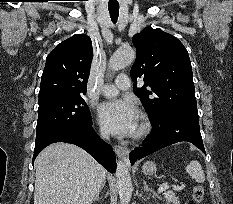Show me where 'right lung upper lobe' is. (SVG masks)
Masks as SVG:
<instances>
[{
    "label": "right lung upper lobe",
    "instance_id": "1",
    "mask_svg": "<svg viewBox=\"0 0 233 204\" xmlns=\"http://www.w3.org/2000/svg\"><path fill=\"white\" fill-rule=\"evenodd\" d=\"M92 57V42L86 34L60 43L46 58L39 101L85 94Z\"/></svg>",
    "mask_w": 233,
    "mask_h": 204
}]
</instances>
